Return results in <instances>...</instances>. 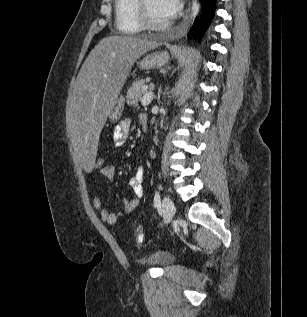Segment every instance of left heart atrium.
<instances>
[{
  "label": "left heart atrium",
  "mask_w": 307,
  "mask_h": 317,
  "mask_svg": "<svg viewBox=\"0 0 307 317\" xmlns=\"http://www.w3.org/2000/svg\"><path fill=\"white\" fill-rule=\"evenodd\" d=\"M158 5L161 12L167 16H174L181 9L180 0H158Z\"/></svg>",
  "instance_id": "39dd6f15"
}]
</instances>
